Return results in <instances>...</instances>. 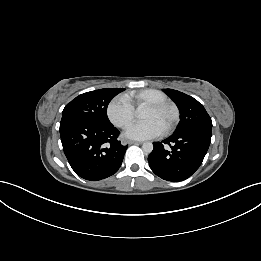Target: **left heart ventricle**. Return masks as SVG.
Masks as SVG:
<instances>
[{
  "label": "left heart ventricle",
  "instance_id": "obj_1",
  "mask_svg": "<svg viewBox=\"0 0 261 261\" xmlns=\"http://www.w3.org/2000/svg\"><path fill=\"white\" fill-rule=\"evenodd\" d=\"M142 119L145 121L154 120L165 129L171 119V114L169 112H157L147 108L142 115Z\"/></svg>",
  "mask_w": 261,
  "mask_h": 261
}]
</instances>
